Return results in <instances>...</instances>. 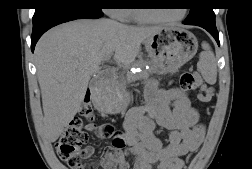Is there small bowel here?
<instances>
[{"label":"small bowel","instance_id":"1","mask_svg":"<svg viewBox=\"0 0 252 169\" xmlns=\"http://www.w3.org/2000/svg\"><path fill=\"white\" fill-rule=\"evenodd\" d=\"M146 104L130 109L122 134L125 148L112 145L106 150L105 169H182L183 156L198 149L204 138V127L198 124V113L191 106L188 94L179 88L158 89L150 82L145 91ZM155 125L169 131L164 146L153 133ZM99 125L89 123L86 129L98 133ZM92 155L94 148L88 147ZM87 156V157H88Z\"/></svg>","mask_w":252,"mask_h":169}]
</instances>
